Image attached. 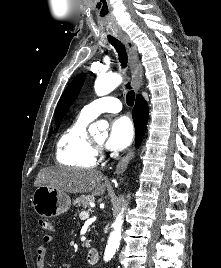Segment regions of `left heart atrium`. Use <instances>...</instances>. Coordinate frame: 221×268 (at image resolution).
I'll use <instances>...</instances> for the list:
<instances>
[{
    "label": "left heart atrium",
    "instance_id": "39dd6f15",
    "mask_svg": "<svg viewBox=\"0 0 221 268\" xmlns=\"http://www.w3.org/2000/svg\"><path fill=\"white\" fill-rule=\"evenodd\" d=\"M133 135L130 119L126 116L118 117L111 122L106 147L112 151H121L130 145Z\"/></svg>",
    "mask_w": 221,
    "mask_h": 268
}]
</instances>
